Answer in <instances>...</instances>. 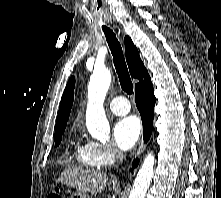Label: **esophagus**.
Wrapping results in <instances>:
<instances>
[{"label":"esophagus","instance_id":"34e87169","mask_svg":"<svg viewBox=\"0 0 221 198\" xmlns=\"http://www.w3.org/2000/svg\"><path fill=\"white\" fill-rule=\"evenodd\" d=\"M141 145H142V141H140V143H139V148L137 149V153L139 152Z\"/></svg>","mask_w":221,"mask_h":198}]
</instances>
